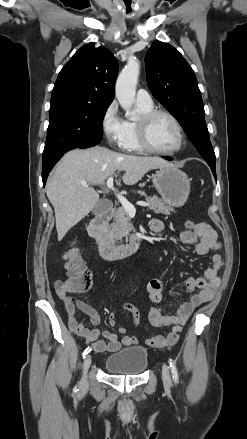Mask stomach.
Masks as SVG:
<instances>
[{"label":"stomach","mask_w":247,"mask_h":439,"mask_svg":"<svg viewBox=\"0 0 247 439\" xmlns=\"http://www.w3.org/2000/svg\"><path fill=\"white\" fill-rule=\"evenodd\" d=\"M162 200L173 207L183 206L190 194L188 176L176 166L161 167L151 176Z\"/></svg>","instance_id":"obj_1"}]
</instances>
